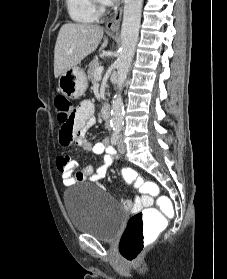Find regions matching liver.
I'll use <instances>...</instances> for the list:
<instances>
[{"label":"liver","instance_id":"1","mask_svg":"<svg viewBox=\"0 0 227 279\" xmlns=\"http://www.w3.org/2000/svg\"><path fill=\"white\" fill-rule=\"evenodd\" d=\"M103 37V28L87 23H66L59 33L54 49V76L58 78L68 69L77 66L94 52ZM105 39L100 51L107 46Z\"/></svg>","mask_w":227,"mask_h":279}]
</instances>
